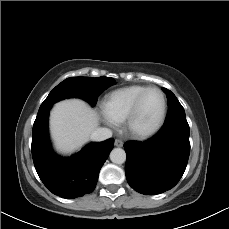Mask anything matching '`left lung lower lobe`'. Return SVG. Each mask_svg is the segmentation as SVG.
<instances>
[{
  "label": "left lung lower lobe",
  "instance_id": "left-lung-lower-lobe-1",
  "mask_svg": "<svg viewBox=\"0 0 229 229\" xmlns=\"http://www.w3.org/2000/svg\"><path fill=\"white\" fill-rule=\"evenodd\" d=\"M126 178L139 193L155 195L172 189L181 179L190 154L186 119L165 123L151 139L124 144Z\"/></svg>",
  "mask_w": 229,
  "mask_h": 229
}]
</instances>
